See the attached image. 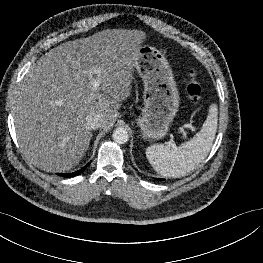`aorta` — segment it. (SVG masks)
Listing matches in <instances>:
<instances>
[{"instance_id": "762f6f07", "label": "aorta", "mask_w": 263, "mask_h": 263, "mask_svg": "<svg viewBox=\"0 0 263 263\" xmlns=\"http://www.w3.org/2000/svg\"><path fill=\"white\" fill-rule=\"evenodd\" d=\"M113 140L118 144H124L128 141L129 135L124 128H117L113 132Z\"/></svg>"}]
</instances>
